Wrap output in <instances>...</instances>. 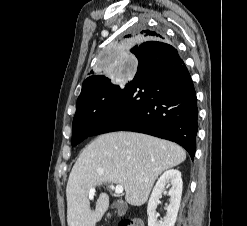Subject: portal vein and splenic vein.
Here are the masks:
<instances>
[{
	"label": "portal vein and splenic vein",
	"instance_id": "18ae733b",
	"mask_svg": "<svg viewBox=\"0 0 247 226\" xmlns=\"http://www.w3.org/2000/svg\"><path fill=\"white\" fill-rule=\"evenodd\" d=\"M109 187H110V189H112L116 194H121V193H123V191H124V188H123L122 185H117L116 187L113 186V185H110ZM94 194H95V188L92 187V188H90V192H89V196H88L89 199H92L93 196H94Z\"/></svg>",
	"mask_w": 247,
	"mask_h": 226
}]
</instances>
